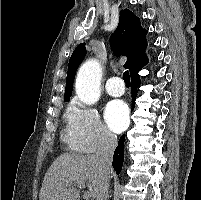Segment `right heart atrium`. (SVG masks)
Instances as JSON below:
<instances>
[{"label": "right heart atrium", "instance_id": "right-heart-atrium-1", "mask_svg": "<svg viewBox=\"0 0 201 200\" xmlns=\"http://www.w3.org/2000/svg\"><path fill=\"white\" fill-rule=\"evenodd\" d=\"M65 139L74 150L92 153L112 149L116 136L104 125L98 110L74 100L66 111Z\"/></svg>", "mask_w": 201, "mask_h": 200}]
</instances>
